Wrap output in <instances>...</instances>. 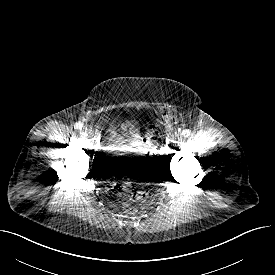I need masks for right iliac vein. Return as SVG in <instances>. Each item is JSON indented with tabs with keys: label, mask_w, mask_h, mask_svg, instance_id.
<instances>
[{
	"label": "right iliac vein",
	"mask_w": 275,
	"mask_h": 275,
	"mask_svg": "<svg viewBox=\"0 0 275 275\" xmlns=\"http://www.w3.org/2000/svg\"><path fill=\"white\" fill-rule=\"evenodd\" d=\"M84 131L87 132V133H90L92 131V128L90 126H84Z\"/></svg>",
	"instance_id": "obj_1"
}]
</instances>
